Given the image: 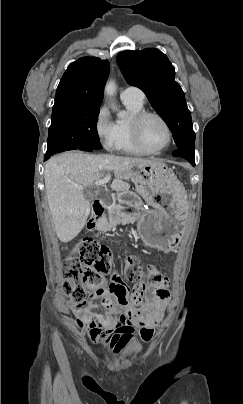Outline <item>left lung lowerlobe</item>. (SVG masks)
Segmentation results:
<instances>
[{
    "instance_id": "1",
    "label": "left lung lower lobe",
    "mask_w": 243,
    "mask_h": 404,
    "mask_svg": "<svg viewBox=\"0 0 243 404\" xmlns=\"http://www.w3.org/2000/svg\"><path fill=\"white\" fill-rule=\"evenodd\" d=\"M172 155L185 158L192 164V166H195L194 150L176 149Z\"/></svg>"
}]
</instances>
